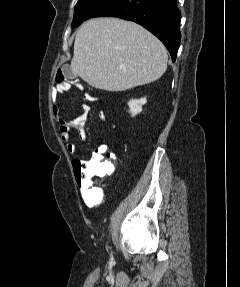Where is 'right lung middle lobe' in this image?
Here are the masks:
<instances>
[{"instance_id":"right-lung-middle-lobe-1","label":"right lung middle lobe","mask_w":240,"mask_h":287,"mask_svg":"<svg viewBox=\"0 0 240 287\" xmlns=\"http://www.w3.org/2000/svg\"><path fill=\"white\" fill-rule=\"evenodd\" d=\"M107 0H78L75 6L72 27L80 25L83 21L92 18Z\"/></svg>"}]
</instances>
